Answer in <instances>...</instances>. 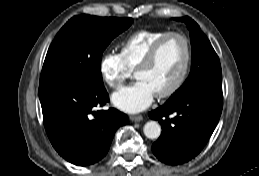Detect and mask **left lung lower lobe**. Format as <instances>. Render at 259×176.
I'll return each instance as SVG.
<instances>
[{"label":"left lung lower lobe","instance_id":"left-lung-lower-lobe-1","mask_svg":"<svg viewBox=\"0 0 259 176\" xmlns=\"http://www.w3.org/2000/svg\"><path fill=\"white\" fill-rule=\"evenodd\" d=\"M222 106V94L197 92L150 112L149 117L162 126L161 136L152 145L154 155L169 165L194 158L211 137Z\"/></svg>","mask_w":259,"mask_h":176}]
</instances>
